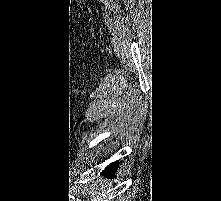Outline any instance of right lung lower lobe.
<instances>
[{"mask_svg":"<svg viewBox=\"0 0 221 201\" xmlns=\"http://www.w3.org/2000/svg\"><path fill=\"white\" fill-rule=\"evenodd\" d=\"M117 167H118L117 163H112L105 169V171H103V174L108 177L110 176L112 177Z\"/></svg>","mask_w":221,"mask_h":201,"instance_id":"obj_1","label":"right lung lower lobe"}]
</instances>
